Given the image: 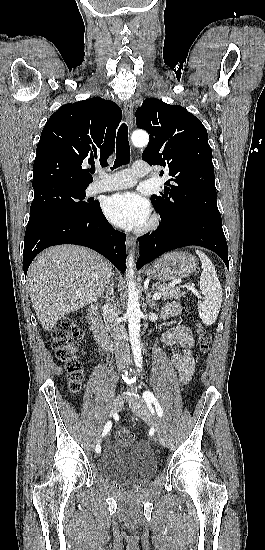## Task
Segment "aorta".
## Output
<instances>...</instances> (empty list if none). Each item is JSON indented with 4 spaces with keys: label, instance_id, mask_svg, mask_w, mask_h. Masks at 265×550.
Instances as JSON below:
<instances>
[{
    "label": "aorta",
    "instance_id": "obj_1",
    "mask_svg": "<svg viewBox=\"0 0 265 550\" xmlns=\"http://www.w3.org/2000/svg\"><path fill=\"white\" fill-rule=\"evenodd\" d=\"M132 143L136 147L146 146L149 142V136L144 131H137L132 134ZM134 260L130 255L127 259V276H128V303H127V318L129 328V338L131 343L132 352L134 355V362L137 367L142 366V351L140 341V303L138 299V292L136 290V283L134 282Z\"/></svg>",
    "mask_w": 265,
    "mask_h": 550
}]
</instances>
